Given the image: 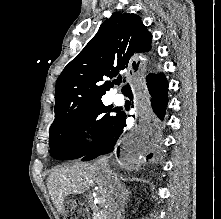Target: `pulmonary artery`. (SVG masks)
Masks as SVG:
<instances>
[{"mask_svg": "<svg viewBox=\"0 0 221 219\" xmlns=\"http://www.w3.org/2000/svg\"><path fill=\"white\" fill-rule=\"evenodd\" d=\"M112 100L113 102L116 104V105H121L123 104L124 102V98L121 94H115L113 97H112Z\"/></svg>", "mask_w": 221, "mask_h": 219, "instance_id": "1", "label": "pulmonary artery"}]
</instances>
